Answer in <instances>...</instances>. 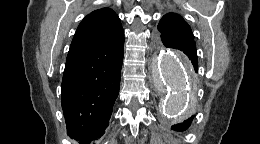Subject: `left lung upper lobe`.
<instances>
[{"label":"left lung upper lobe","instance_id":"1","mask_svg":"<svg viewBox=\"0 0 260 144\" xmlns=\"http://www.w3.org/2000/svg\"><path fill=\"white\" fill-rule=\"evenodd\" d=\"M157 29L161 41L163 36L194 40V35L190 26L176 13H167L164 15L160 20Z\"/></svg>","mask_w":260,"mask_h":144}]
</instances>
